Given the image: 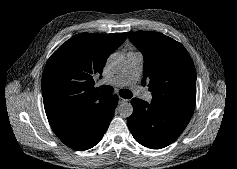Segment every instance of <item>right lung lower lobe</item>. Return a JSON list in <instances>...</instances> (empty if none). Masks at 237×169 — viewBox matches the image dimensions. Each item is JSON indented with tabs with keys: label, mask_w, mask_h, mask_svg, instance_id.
<instances>
[{
	"label": "right lung lower lobe",
	"mask_w": 237,
	"mask_h": 169,
	"mask_svg": "<svg viewBox=\"0 0 237 169\" xmlns=\"http://www.w3.org/2000/svg\"><path fill=\"white\" fill-rule=\"evenodd\" d=\"M117 103L116 94L103 95L96 91L50 125L65 145L75 150H86L102 139Z\"/></svg>",
	"instance_id": "obj_1"
}]
</instances>
